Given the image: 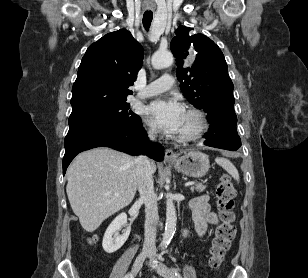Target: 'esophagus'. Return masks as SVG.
Here are the masks:
<instances>
[{"instance_id": "1", "label": "esophagus", "mask_w": 308, "mask_h": 278, "mask_svg": "<svg viewBox=\"0 0 308 278\" xmlns=\"http://www.w3.org/2000/svg\"><path fill=\"white\" fill-rule=\"evenodd\" d=\"M176 159V155L172 149H166L165 151V161H173Z\"/></svg>"}]
</instances>
